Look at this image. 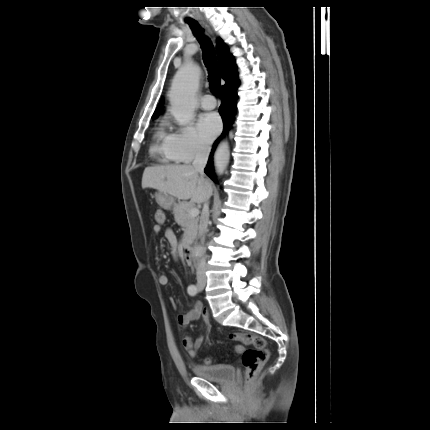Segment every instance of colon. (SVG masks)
<instances>
[{
  "mask_svg": "<svg viewBox=\"0 0 430 430\" xmlns=\"http://www.w3.org/2000/svg\"><path fill=\"white\" fill-rule=\"evenodd\" d=\"M155 221L157 225L164 222L165 215L161 210L155 211ZM229 339L232 341H240L244 345L251 346L245 350L235 348L236 352L242 354V363L245 368L246 385H251L257 378L261 368L268 359L269 353L266 348V341L261 336L249 332H231ZM208 364L210 359H206Z\"/></svg>",
  "mask_w": 430,
  "mask_h": 430,
  "instance_id": "obj_1",
  "label": "colon"
}]
</instances>
